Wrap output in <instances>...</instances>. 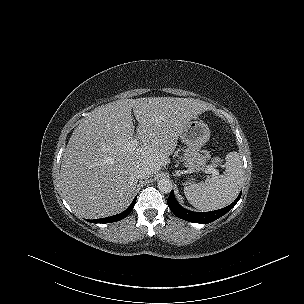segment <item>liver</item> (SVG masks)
<instances>
[{"label":"liver","instance_id":"1","mask_svg":"<svg viewBox=\"0 0 304 304\" xmlns=\"http://www.w3.org/2000/svg\"><path fill=\"white\" fill-rule=\"evenodd\" d=\"M206 108L191 98L146 97L92 111L74 129L62 158L61 190L72 210L92 219L126 209L138 183L136 169L156 174L168 163L186 124ZM134 138L140 146H129Z\"/></svg>","mask_w":304,"mask_h":304}]
</instances>
